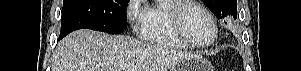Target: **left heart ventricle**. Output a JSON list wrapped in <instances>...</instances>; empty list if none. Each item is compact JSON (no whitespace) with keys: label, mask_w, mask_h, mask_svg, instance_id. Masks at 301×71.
<instances>
[{"label":"left heart ventricle","mask_w":301,"mask_h":71,"mask_svg":"<svg viewBox=\"0 0 301 71\" xmlns=\"http://www.w3.org/2000/svg\"><path fill=\"white\" fill-rule=\"evenodd\" d=\"M184 21L187 34L194 42L205 44L212 39L213 25L201 9L197 7L188 9Z\"/></svg>","instance_id":"left-heart-ventricle-1"}]
</instances>
